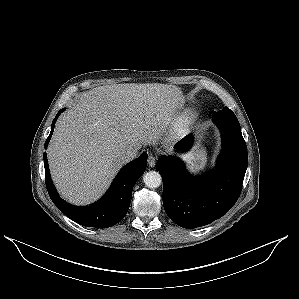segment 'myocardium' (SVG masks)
Returning <instances> with one entry per match:
<instances>
[{"label": "myocardium", "mask_w": 299, "mask_h": 299, "mask_svg": "<svg viewBox=\"0 0 299 299\" xmlns=\"http://www.w3.org/2000/svg\"><path fill=\"white\" fill-rule=\"evenodd\" d=\"M196 117L197 114L194 110L186 111L178 122V128L181 130L190 128L194 124Z\"/></svg>", "instance_id": "obj_1"}]
</instances>
